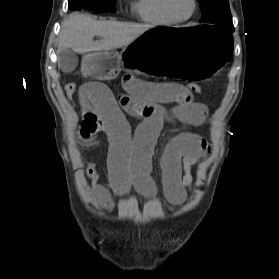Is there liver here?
Instances as JSON below:
<instances>
[{
    "label": "liver",
    "mask_w": 279,
    "mask_h": 279,
    "mask_svg": "<svg viewBox=\"0 0 279 279\" xmlns=\"http://www.w3.org/2000/svg\"><path fill=\"white\" fill-rule=\"evenodd\" d=\"M151 28L147 24L98 21L89 15L73 13L62 22L57 53L71 49L84 54L124 47ZM94 36L100 40L93 41Z\"/></svg>",
    "instance_id": "liver-1"
}]
</instances>
